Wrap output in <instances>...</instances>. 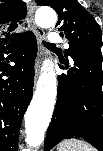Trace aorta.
<instances>
[{"label": "aorta", "mask_w": 103, "mask_h": 151, "mask_svg": "<svg viewBox=\"0 0 103 151\" xmlns=\"http://www.w3.org/2000/svg\"><path fill=\"white\" fill-rule=\"evenodd\" d=\"M35 21L42 28L52 27L57 22L56 12L48 7L39 8ZM41 70L36 91L25 114V141L31 147H37L44 141L57 95V78L53 63L45 61Z\"/></svg>", "instance_id": "obj_1"}]
</instances>
